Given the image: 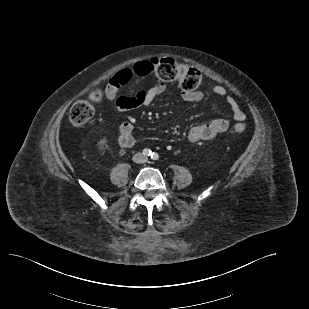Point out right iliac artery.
<instances>
[{"label": "right iliac artery", "instance_id": "right-iliac-artery-1", "mask_svg": "<svg viewBox=\"0 0 309 309\" xmlns=\"http://www.w3.org/2000/svg\"><path fill=\"white\" fill-rule=\"evenodd\" d=\"M143 155H144V156H151V155H152V152H151L150 149H147V148H146V149L143 150Z\"/></svg>", "mask_w": 309, "mask_h": 309}]
</instances>
